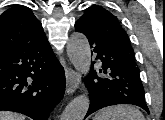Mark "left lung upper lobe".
<instances>
[{"label":"left lung upper lobe","instance_id":"obj_1","mask_svg":"<svg viewBox=\"0 0 165 120\" xmlns=\"http://www.w3.org/2000/svg\"><path fill=\"white\" fill-rule=\"evenodd\" d=\"M78 20L83 22L95 35L116 46L135 60L127 33L122 29L117 17L109 11L98 5H93L87 8Z\"/></svg>","mask_w":165,"mask_h":120}]
</instances>
